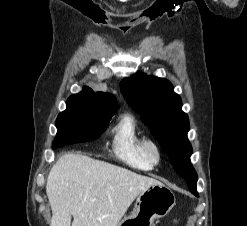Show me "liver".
Returning <instances> with one entry per match:
<instances>
[{
    "instance_id": "6515ba94",
    "label": "liver",
    "mask_w": 247,
    "mask_h": 226,
    "mask_svg": "<svg viewBox=\"0 0 247 226\" xmlns=\"http://www.w3.org/2000/svg\"><path fill=\"white\" fill-rule=\"evenodd\" d=\"M159 183L123 167L66 153L47 178L50 226H71L72 216V226H117L135 198Z\"/></svg>"
}]
</instances>
